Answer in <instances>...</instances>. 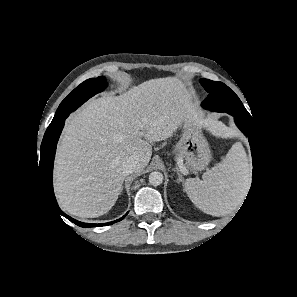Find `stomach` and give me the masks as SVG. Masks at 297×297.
Here are the masks:
<instances>
[{
  "label": "stomach",
  "mask_w": 297,
  "mask_h": 297,
  "mask_svg": "<svg viewBox=\"0 0 297 297\" xmlns=\"http://www.w3.org/2000/svg\"><path fill=\"white\" fill-rule=\"evenodd\" d=\"M173 155L187 170H204L211 161L212 154L202 127L193 121L184 122L182 137L175 145Z\"/></svg>",
  "instance_id": "stomach-1"
}]
</instances>
